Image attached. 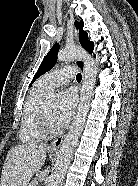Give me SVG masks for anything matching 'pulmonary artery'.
<instances>
[{"mask_svg":"<svg viewBox=\"0 0 138 186\" xmlns=\"http://www.w3.org/2000/svg\"><path fill=\"white\" fill-rule=\"evenodd\" d=\"M76 72L77 70L73 66L61 67L46 74L40 80L42 84L50 90L69 83L75 77Z\"/></svg>","mask_w":138,"mask_h":186,"instance_id":"e3ab8cb5","label":"pulmonary artery"}]
</instances>
